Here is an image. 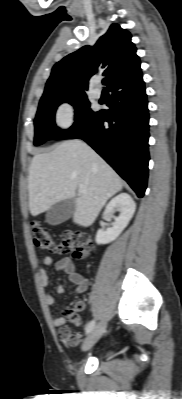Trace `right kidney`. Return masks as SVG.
Returning <instances> with one entry per match:
<instances>
[{
	"instance_id": "obj_1",
	"label": "right kidney",
	"mask_w": 182,
	"mask_h": 399,
	"mask_svg": "<svg viewBox=\"0 0 182 399\" xmlns=\"http://www.w3.org/2000/svg\"><path fill=\"white\" fill-rule=\"evenodd\" d=\"M136 204L132 197L127 193H121L114 197L106 206L103 213L104 216L111 214L114 210L120 212L115 218L112 228L107 230L99 229L96 234L95 241L97 244H108L114 241L121 232L127 227L134 215Z\"/></svg>"
}]
</instances>
